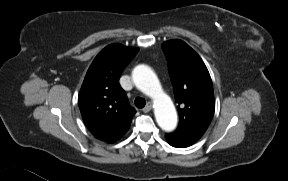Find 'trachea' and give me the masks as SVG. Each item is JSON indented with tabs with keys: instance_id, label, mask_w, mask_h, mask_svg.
I'll return each mask as SVG.
<instances>
[{
	"instance_id": "trachea-1",
	"label": "trachea",
	"mask_w": 288,
	"mask_h": 181,
	"mask_svg": "<svg viewBox=\"0 0 288 181\" xmlns=\"http://www.w3.org/2000/svg\"><path fill=\"white\" fill-rule=\"evenodd\" d=\"M135 105L137 108L141 109L145 106L146 104V101L144 98H141V97H137L134 101Z\"/></svg>"
}]
</instances>
